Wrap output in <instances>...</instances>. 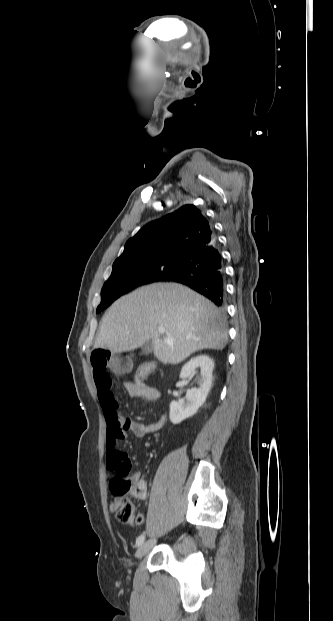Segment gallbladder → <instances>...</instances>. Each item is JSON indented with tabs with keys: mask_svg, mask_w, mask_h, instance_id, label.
<instances>
[{
	"mask_svg": "<svg viewBox=\"0 0 333 621\" xmlns=\"http://www.w3.org/2000/svg\"><path fill=\"white\" fill-rule=\"evenodd\" d=\"M153 352V345L151 342H146L141 347L142 354H150Z\"/></svg>",
	"mask_w": 333,
	"mask_h": 621,
	"instance_id": "1",
	"label": "gallbladder"
}]
</instances>
